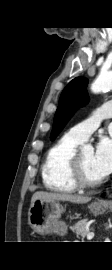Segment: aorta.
Instances as JSON below:
<instances>
[{
    "mask_svg": "<svg viewBox=\"0 0 112 270\" xmlns=\"http://www.w3.org/2000/svg\"><path fill=\"white\" fill-rule=\"evenodd\" d=\"M106 89H112V71L101 73L91 85V91L93 93H99ZM82 151L85 153H93L94 149L90 144H87L83 146Z\"/></svg>",
    "mask_w": 112,
    "mask_h": 270,
    "instance_id": "aorta-1",
    "label": "aorta"
}]
</instances>
